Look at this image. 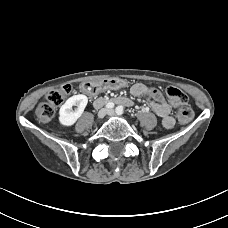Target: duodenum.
Segmentation results:
<instances>
[{
	"mask_svg": "<svg viewBox=\"0 0 228 228\" xmlns=\"http://www.w3.org/2000/svg\"><path fill=\"white\" fill-rule=\"evenodd\" d=\"M113 101L117 105H120V106H128V105L131 104V101L128 98H125V97H117V98H114ZM105 102H106V99H104V98H98L95 101V105H101V104H103Z\"/></svg>",
	"mask_w": 228,
	"mask_h": 228,
	"instance_id": "410a0bca",
	"label": "duodenum"
}]
</instances>
